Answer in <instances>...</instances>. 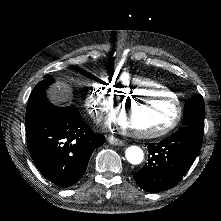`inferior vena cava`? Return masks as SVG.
I'll return each instance as SVG.
<instances>
[{
	"mask_svg": "<svg viewBox=\"0 0 221 221\" xmlns=\"http://www.w3.org/2000/svg\"><path fill=\"white\" fill-rule=\"evenodd\" d=\"M99 119V123L102 121V118L101 117H97V120Z\"/></svg>",
	"mask_w": 221,
	"mask_h": 221,
	"instance_id": "obj_1",
	"label": "inferior vena cava"
}]
</instances>
